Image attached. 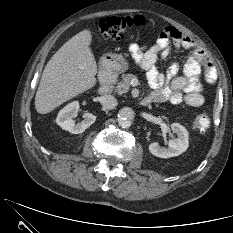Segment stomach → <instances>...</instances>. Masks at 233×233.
<instances>
[{
  "label": "stomach",
  "mask_w": 233,
  "mask_h": 233,
  "mask_svg": "<svg viewBox=\"0 0 233 233\" xmlns=\"http://www.w3.org/2000/svg\"><path fill=\"white\" fill-rule=\"evenodd\" d=\"M110 57L112 59L111 67L115 72L120 73V72L127 70L128 64L122 58V56L117 55V54H112L110 55Z\"/></svg>",
  "instance_id": "stomach-1"
}]
</instances>
